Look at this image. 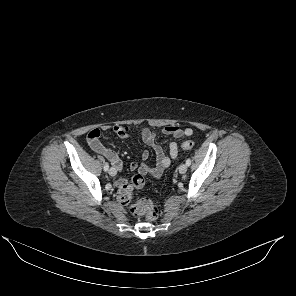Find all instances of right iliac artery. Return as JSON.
<instances>
[{
  "label": "right iliac artery",
  "instance_id": "right-iliac-artery-1",
  "mask_svg": "<svg viewBox=\"0 0 296 296\" xmlns=\"http://www.w3.org/2000/svg\"><path fill=\"white\" fill-rule=\"evenodd\" d=\"M108 169H109V164L106 162V163L104 164V171H108Z\"/></svg>",
  "mask_w": 296,
  "mask_h": 296
}]
</instances>
